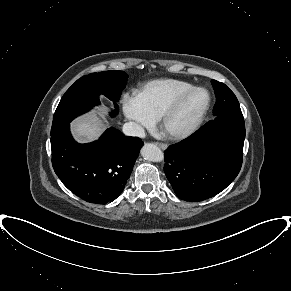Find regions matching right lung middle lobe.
I'll list each match as a JSON object with an SVG mask.
<instances>
[{
  "label": "right lung middle lobe",
  "instance_id": "1",
  "mask_svg": "<svg viewBox=\"0 0 291 291\" xmlns=\"http://www.w3.org/2000/svg\"><path fill=\"white\" fill-rule=\"evenodd\" d=\"M127 79L128 75L123 71L92 73L78 79L66 91L58 104L53 117L51 135L58 129L69 125L75 117L98 105L100 94L117 102L126 86ZM114 104L117 111V105Z\"/></svg>",
  "mask_w": 291,
  "mask_h": 291
}]
</instances>
